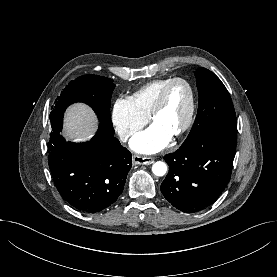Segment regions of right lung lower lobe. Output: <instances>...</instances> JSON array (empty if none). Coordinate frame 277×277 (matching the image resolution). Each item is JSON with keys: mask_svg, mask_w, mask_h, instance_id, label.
Returning <instances> with one entry per match:
<instances>
[{"mask_svg": "<svg viewBox=\"0 0 277 277\" xmlns=\"http://www.w3.org/2000/svg\"><path fill=\"white\" fill-rule=\"evenodd\" d=\"M63 112L51 121L48 141L49 167L61 196L86 213L113 204L122 193L131 153L115 138L112 125L100 121L96 135L85 143H72L60 135Z\"/></svg>", "mask_w": 277, "mask_h": 277, "instance_id": "right-lung-lower-lobe-1", "label": "right lung lower lobe"}]
</instances>
